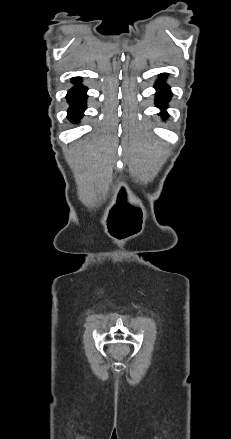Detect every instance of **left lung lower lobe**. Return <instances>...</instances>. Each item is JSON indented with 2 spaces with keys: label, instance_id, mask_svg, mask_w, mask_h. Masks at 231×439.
Returning a JSON list of instances; mask_svg holds the SVG:
<instances>
[{
  "label": "left lung lower lobe",
  "instance_id": "left-lung-lower-lobe-1",
  "mask_svg": "<svg viewBox=\"0 0 231 439\" xmlns=\"http://www.w3.org/2000/svg\"><path fill=\"white\" fill-rule=\"evenodd\" d=\"M167 77V74H161L160 79L157 81L155 88L157 90L156 93V106L162 109H165L166 103L169 101V99L172 96V92L170 90V87L164 83L165 78ZM162 117H167L168 114L166 112L160 113Z\"/></svg>",
  "mask_w": 231,
  "mask_h": 439
}]
</instances>
